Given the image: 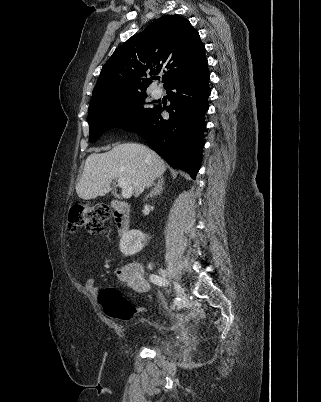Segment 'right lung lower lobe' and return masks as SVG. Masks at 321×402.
I'll list each match as a JSON object with an SVG mask.
<instances>
[{
  "label": "right lung lower lobe",
  "instance_id": "1",
  "mask_svg": "<svg viewBox=\"0 0 321 402\" xmlns=\"http://www.w3.org/2000/svg\"><path fill=\"white\" fill-rule=\"evenodd\" d=\"M209 77L205 65L176 78L165 87L171 102L166 108L168 119L161 116L164 108L157 106L138 123L123 128L146 139L171 167L186 171L193 179L202 159L204 114L211 92Z\"/></svg>",
  "mask_w": 321,
  "mask_h": 402
}]
</instances>
